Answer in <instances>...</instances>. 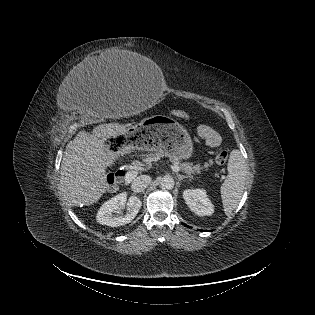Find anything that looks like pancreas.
Instances as JSON below:
<instances>
[{
    "instance_id": "cf45deb5",
    "label": "pancreas",
    "mask_w": 315,
    "mask_h": 315,
    "mask_svg": "<svg viewBox=\"0 0 315 315\" xmlns=\"http://www.w3.org/2000/svg\"><path fill=\"white\" fill-rule=\"evenodd\" d=\"M163 156L164 155L161 153L150 154L146 156V158L144 159V162L149 164ZM172 162L174 163L175 166L179 167L180 171H182L183 173H186L188 176H191L192 174H195V173L199 174L201 170L207 169L212 164V161H209V163H205L204 165H200V164L193 165L190 162L181 163L177 159H172Z\"/></svg>"
}]
</instances>
